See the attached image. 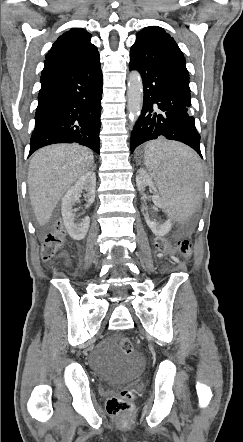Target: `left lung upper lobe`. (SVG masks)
I'll use <instances>...</instances> for the list:
<instances>
[{"mask_svg":"<svg viewBox=\"0 0 243 442\" xmlns=\"http://www.w3.org/2000/svg\"><path fill=\"white\" fill-rule=\"evenodd\" d=\"M137 38H146L150 39L152 41L165 44L167 46H170L172 48H175L179 51H181L174 41L172 37H170L169 34L165 32V30L158 26H149L141 30L137 33Z\"/></svg>","mask_w":243,"mask_h":442,"instance_id":"1","label":"left lung upper lobe"}]
</instances>
